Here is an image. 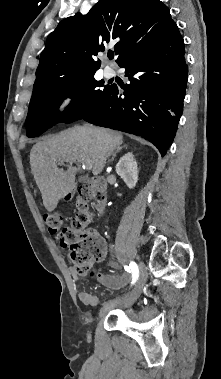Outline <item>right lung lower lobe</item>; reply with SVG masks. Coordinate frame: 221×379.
<instances>
[{
	"instance_id": "98d812e1",
	"label": "right lung lower lobe",
	"mask_w": 221,
	"mask_h": 379,
	"mask_svg": "<svg viewBox=\"0 0 221 379\" xmlns=\"http://www.w3.org/2000/svg\"><path fill=\"white\" fill-rule=\"evenodd\" d=\"M130 84L111 85L109 91L78 119L141 136L164 156L183 112L188 67L184 41L176 24L125 56ZM75 120V121H76Z\"/></svg>"
}]
</instances>
